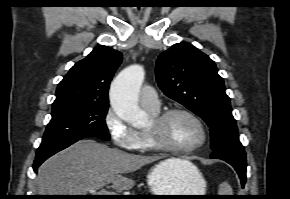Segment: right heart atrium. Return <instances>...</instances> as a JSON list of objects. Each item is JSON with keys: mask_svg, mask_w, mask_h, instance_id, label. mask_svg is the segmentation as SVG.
I'll list each match as a JSON object with an SVG mask.
<instances>
[{"mask_svg": "<svg viewBox=\"0 0 290 199\" xmlns=\"http://www.w3.org/2000/svg\"><path fill=\"white\" fill-rule=\"evenodd\" d=\"M105 124L115 146L130 151L137 149L138 132L128 125L114 109H108L105 116Z\"/></svg>", "mask_w": 290, "mask_h": 199, "instance_id": "right-heart-atrium-1", "label": "right heart atrium"}]
</instances>
